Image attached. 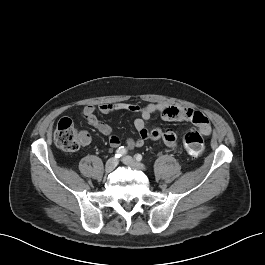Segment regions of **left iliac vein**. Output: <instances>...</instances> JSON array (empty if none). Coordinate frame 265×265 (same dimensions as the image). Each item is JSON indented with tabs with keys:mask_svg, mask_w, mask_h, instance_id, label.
Here are the masks:
<instances>
[{
	"mask_svg": "<svg viewBox=\"0 0 265 265\" xmlns=\"http://www.w3.org/2000/svg\"><path fill=\"white\" fill-rule=\"evenodd\" d=\"M122 162L128 166L140 169V170H145V166L142 163H139L135 161L131 156H125L122 158Z\"/></svg>",
	"mask_w": 265,
	"mask_h": 265,
	"instance_id": "obj_1",
	"label": "left iliac vein"
}]
</instances>
